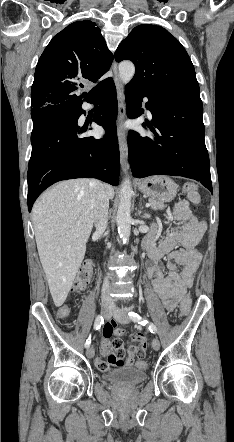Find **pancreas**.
<instances>
[{"label":"pancreas","mask_w":234,"mask_h":442,"mask_svg":"<svg viewBox=\"0 0 234 442\" xmlns=\"http://www.w3.org/2000/svg\"><path fill=\"white\" fill-rule=\"evenodd\" d=\"M148 202L153 210H162L166 207L164 202L150 198Z\"/></svg>","instance_id":"1"}]
</instances>
